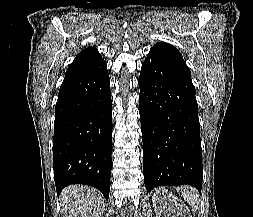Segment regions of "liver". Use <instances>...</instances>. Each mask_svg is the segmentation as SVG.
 Here are the masks:
<instances>
[{"instance_id":"liver-1","label":"liver","mask_w":253,"mask_h":217,"mask_svg":"<svg viewBox=\"0 0 253 217\" xmlns=\"http://www.w3.org/2000/svg\"><path fill=\"white\" fill-rule=\"evenodd\" d=\"M67 217H102L104 198L96 189L83 185L65 188L60 196Z\"/></svg>"}]
</instances>
